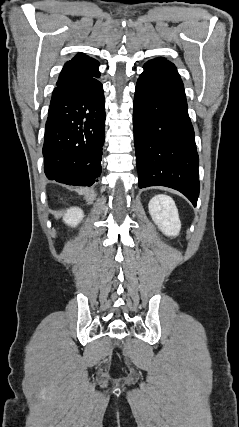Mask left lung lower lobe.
Wrapping results in <instances>:
<instances>
[{"label": "left lung lower lobe", "instance_id": "1", "mask_svg": "<svg viewBox=\"0 0 239 427\" xmlns=\"http://www.w3.org/2000/svg\"><path fill=\"white\" fill-rule=\"evenodd\" d=\"M134 97V142L139 188L166 186L194 206L199 196L198 154L176 68L148 61Z\"/></svg>", "mask_w": 239, "mask_h": 427}]
</instances>
